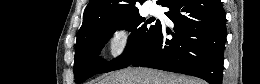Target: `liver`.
<instances>
[{
    "label": "liver",
    "mask_w": 260,
    "mask_h": 84,
    "mask_svg": "<svg viewBox=\"0 0 260 84\" xmlns=\"http://www.w3.org/2000/svg\"><path fill=\"white\" fill-rule=\"evenodd\" d=\"M97 84H205V82L195 77L139 67L112 73Z\"/></svg>",
    "instance_id": "6515ba94"
}]
</instances>
